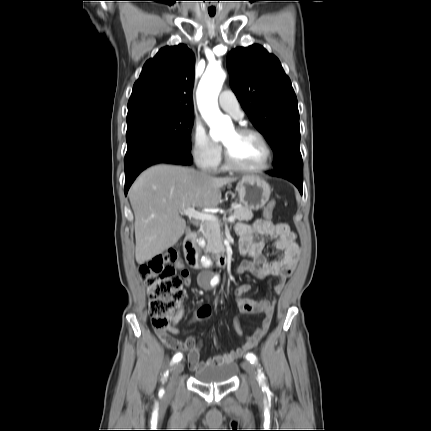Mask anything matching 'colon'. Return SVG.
<instances>
[{
	"instance_id": "1",
	"label": "colon",
	"mask_w": 431,
	"mask_h": 431,
	"mask_svg": "<svg viewBox=\"0 0 431 431\" xmlns=\"http://www.w3.org/2000/svg\"><path fill=\"white\" fill-rule=\"evenodd\" d=\"M274 208L275 202H268L264 210L265 217L270 218ZM178 258V253L170 250L155 256L139 267L140 276L148 288L149 312L156 329L168 326L174 310L186 298L182 277L177 274L175 268ZM211 316V303L202 301L196 313L189 315L188 325L195 327L197 324H203L208 322ZM240 321L238 317L233 321L234 333L238 338L244 335Z\"/></svg>"
}]
</instances>
